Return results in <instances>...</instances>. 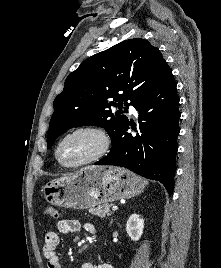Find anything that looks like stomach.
<instances>
[{"label":"stomach","mask_w":221,"mask_h":268,"mask_svg":"<svg viewBox=\"0 0 221 268\" xmlns=\"http://www.w3.org/2000/svg\"><path fill=\"white\" fill-rule=\"evenodd\" d=\"M146 181L119 167L87 166L73 175L50 181L43 188L50 204L86 209L140 194Z\"/></svg>","instance_id":"stomach-1"}]
</instances>
